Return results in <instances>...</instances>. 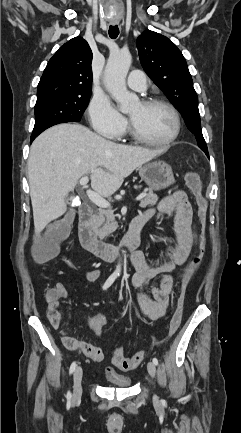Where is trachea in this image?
<instances>
[{"label":"trachea","mask_w":241,"mask_h":433,"mask_svg":"<svg viewBox=\"0 0 241 433\" xmlns=\"http://www.w3.org/2000/svg\"><path fill=\"white\" fill-rule=\"evenodd\" d=\"M118 35H119V28H118V26L117 25H114V26L111 25L109 27V36H110V38L116 39Z\"/></svg>","instance_id":"1"}]
</instances>
